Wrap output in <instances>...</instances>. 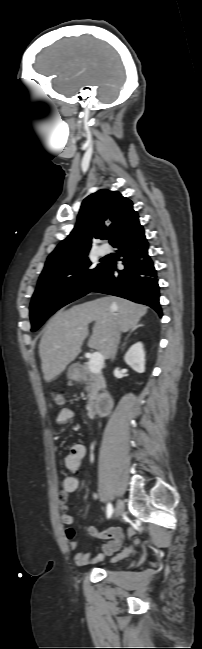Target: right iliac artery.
Listing matches in <instances>:
<instances>
[{
  "mask_svg": "<svg viewBox=\"0 0 202 649\" xmlns=\"http://www.w3.org/2000/svg\"><path fill=\"white\" fill-rule=\"evenodd\" d=\"M112 514H113V506L112 504L109 503L107 505V518H111Z\"/></svg>",
  "mask_w": 202,
  "mask_h": 649,
  "instance_id": "right-iliac-artery-1",
  "label": "right iliac artery"
}]
</instances>
